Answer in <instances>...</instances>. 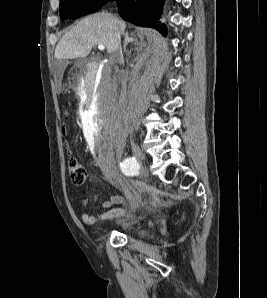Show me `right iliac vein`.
Listing matches in <instances>:
<instances>
[{"mask_svg":"<svg viewBox=\"0 0 267 298\" xmlns=\"http://www.w3.org/2000/svg\"><path fill=\"white\" fill-rule=\"evenodd\" d=\"M133 151V155L134 157L139 161L142 162L143 160H145V154L141 151V149L134 145L132 148Z\"/></svg>","mask_w":267,"mask_h":298,"instance_id":"63e3f726","label":"right iliac vein"}]
</instances>
